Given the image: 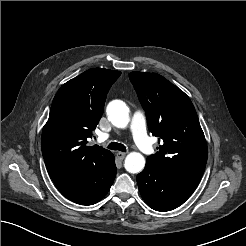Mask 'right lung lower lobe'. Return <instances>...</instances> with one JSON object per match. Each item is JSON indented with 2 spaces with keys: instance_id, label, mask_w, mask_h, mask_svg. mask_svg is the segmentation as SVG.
I'll return each mask as SVG.
<instances>
[{
  "instance_id": "1",
  "label": "right lung lower lobe",
  "mask_w": 246,
  "mask_h": 246,
  "mask_svg": "<svg viewBox=\"0 0 246 246\" xmlns=\"http://www.w3.org/2000/svg\"><path fill=\"white\" fill-rule=\"evenodd\" d=\"M116 172L117 168L112 154L105 162L82 166L52 177V179L67 199L80 205H92L108 193Z\"/></svg>"
}]
</instances>
